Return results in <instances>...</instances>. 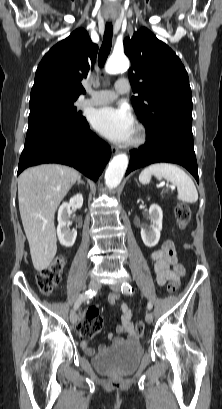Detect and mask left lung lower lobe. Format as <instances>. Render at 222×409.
<instances>
[{
  "label": "left lung lower lobe",
  "mask_w": 222,
  "mask_h": 409,
  "mask_svg": "<svg viewBox=\"0 0 222 409\" xmlns=\"http://www.w3.org/2000/svg\"><path fill=\"white\" fill-rule=\"evenodd\" d=\"M157 162L182 165L199 182L191 126L166 122L148 130L146 144L131 152L126 174Z\"/></svg>",
  "instance_id": "1"
}]
</instances>
